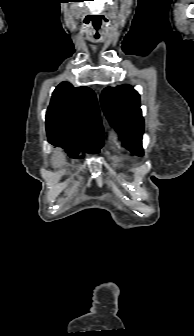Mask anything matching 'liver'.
I'll return each mask as SVG.
<instances>
[{
  "instance_id": "obj_1",
  "label": "liver",
  "mask_w": 194,
  "mask_h": 336,
  "mask_svg": "<svg viewBox=\"0 0 194 336\" xmlns=\"http://www.w3.org/2000/svg\"><path fill=\"white\" fill-rule=\"evenodd\" d=\"M66 162L65 156L61 151H55L52 156V165L55 168H59Z\"/></svg>"
}]
</instances>
